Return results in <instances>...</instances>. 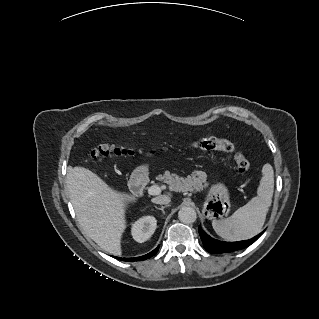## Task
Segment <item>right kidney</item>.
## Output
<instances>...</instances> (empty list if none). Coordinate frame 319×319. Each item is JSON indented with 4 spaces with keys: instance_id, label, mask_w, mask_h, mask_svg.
Returning a JSON list of instances; mask_svg holds the SVG:
<instances>
[{
    "instance_id": "right-kidney-1",
    "label": "right kidney",
    "mask_w": 319,
    "mask_h": 319,
    "mask_svg": "<svg viewBox=\"0 0 319 319\" xmlns=\"http://www.w3.org/2000/svg\"><path fill=\"white\" fill-rule=\"evenodd\" d=\"M157 221L153 216H145L132 224L131 234L137 242H145L154 233Z\"/></svg>"
}]
</instances>
